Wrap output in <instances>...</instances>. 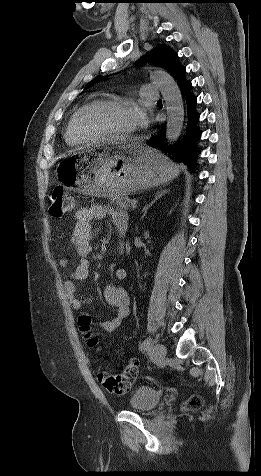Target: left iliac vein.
<instances>
[{"instance_id":"1","label":"left iliac vein","mask_w":261,"mask_h":476,"mask_svg":"<svg viewBox=\"0 0 261 476\" xmlns=\"http://www.w3.org/2000/svg\"><path fill=\"white\" fill-rule=\"evenodd\" d=\"M167 350L163 344H156L152 351V356L156 360H162L166 356Z\"/></svg>"}]
</instances>
